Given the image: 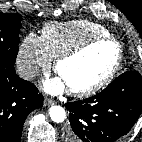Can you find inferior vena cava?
Instances as JSON below:
<instances>
[{"label": "inferior vena cava", "mask_w": 142, "mask_h": 142, "mask_svg": "<svg viewBox=\"0 0 142 142\" xmlns=\"http://www.w3.org/2000/svg\"><path fill=\"white\" fill-rule=\"evenodd\" d=\"M18 75L24 80H31L39 73L37 66H20L18 68Z\"/></svg>", "instance_id": "1"}]
</instances>
